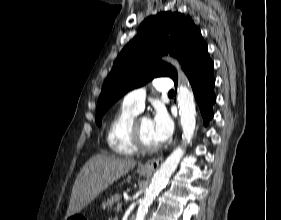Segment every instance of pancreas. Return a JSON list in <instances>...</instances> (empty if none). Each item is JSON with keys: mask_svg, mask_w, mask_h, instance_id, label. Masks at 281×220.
I'll list each match as a JSON object with an SVG mask.
<instances>
[{"mask_svg": "<svg viewBox=\"0 0 281 220\" xmlns=\"http://www.w3.org/2000/svg\"><path fill=\"white\" fill-rule=\"evenodd\" d=\"M120 201V195L119 194H115V195H112L110 196L107 201H105L104 203H102V207L103 208H112L113 205L116 203V202H119Z\"/></svg>", "mask_w": 281, "mask_h": 220, "instance_id": "cf45deb5", "label": "pancreas"}]
</instances>
